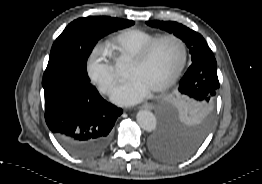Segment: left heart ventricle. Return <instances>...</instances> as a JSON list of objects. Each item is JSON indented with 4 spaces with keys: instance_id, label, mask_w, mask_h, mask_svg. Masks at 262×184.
<instances>
[{
    "instance_id": "1",
    "label": "left heart ventricle",
    "mask_w": 262,
    "mask_h": 184,
    "mask_svg": "<svg viewBox=\"0 0 262 184\" xmlns=\"http://www.w3.org/2000/svg\"><path fill=\"white\" fill-rule=\"evenodd\" d=\"M182 48L174 40L159 43L143 64L130 62L129 77H138L151 89L164 83L176 71L182 60Z\"/></svg>"
}]
</instances>
